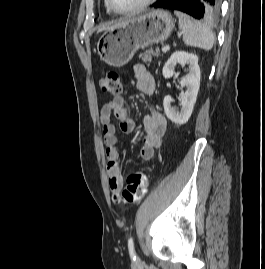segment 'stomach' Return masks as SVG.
I'll list each match as a JSON object with an SVG mask.
<instances>
[{
	"label": "stomach",
	"instance_id": "obj_1",
	"mask_svg": "<svg viewBox=\"0 0 265 269\" xmlns=\"http://www.w3.org/2000/svg\"><path fill=\"white\" fill-rule=\"evenodd\" d=\"M174 28L172 15L162 9L126 21L113 30H106L97 43L100 58L110 66L127 64L135 52L165 41Z\"/></svg>",
	"mask_w": 265,
	"mask_h": 269
}]
</instances>
